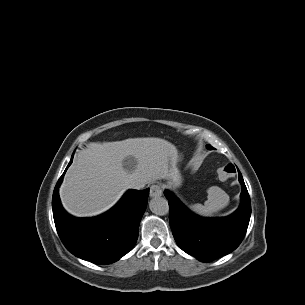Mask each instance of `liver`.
Returning <instances> with one entry per match:
<instances>
[{"label":"liver","instance_id":"6515ba94","mask_svg":"<svg viewBox=\"0 0 305 305\" xmlns=\"http://www.w3.org/2000/svg\"><path fill=\"white\" fill-rule=\"evenodd\" d=\"M176 147L160 138L89 143L78 152L59 189L63 207L77 217L99 215L133 182L144 186L168 179Z\"/></svg>","mask_w":305,"mask_h":305}]
</instances>
